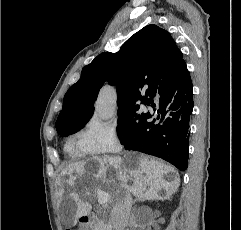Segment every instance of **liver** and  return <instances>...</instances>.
Masks as SVG:
<instances>
[{"instance_id":"obj_1","label":"liver","mask_w":241,"mask_h":230,"mask_svg":"<svg viewBox=\"0 0 241 230\" xmlns=\"http://www.w3.org/2000/svg\"><path fill=\"white\" fill-rule=\"evenodd\" d=\"M92 160L96 162L97 168L92 173L93 185L84 186L85 195L89 196L95 190L101 191V185L105 184L108 188L109 199L116 204L123 199L125 191L119 174L124 176L128 191L138 199L166 200L170 194L177 191L180 184L178 173L173 167L139 153L129 152L123 158L119 156L93 157ZM86 164L87 162L74 163L65 169L70 176L67 181L70 186H74L77 178L90 174ZM109 167L114 169V173L108 174ZM73 173L76 175L73 176ZM169 174L172 177L170 181L165 179V176ZM129 181L132 182L131 185L127 184ZM162 191L165 192V196H161ZM69 198L76 205L74 214V223H76L80 217L88 215L92 207L80 198L76 191L70 192Z\"/></svg>"}]
</instances>
